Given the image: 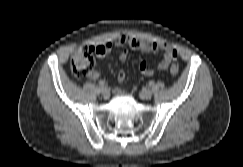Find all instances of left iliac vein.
<instances>
[{
  "mask_svg": "<svg viewBox=\"0 0 243 167\" xmlns=\"http://www.w3.org/2000/svg\"><path fill=\"white\" fill-rule=\"evenodd\" d=\"M140 97L142 99H150L152 97V91L148 88H144L140 91Z\"/></svg>",
  "mask_w": 243,
  "mask_h": 167,
  "instance_id": "obj_1",
  "label": "left iliac vein"
}]
</instances>
